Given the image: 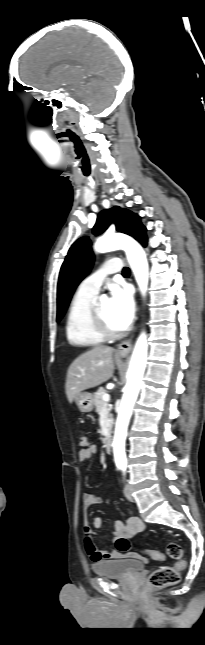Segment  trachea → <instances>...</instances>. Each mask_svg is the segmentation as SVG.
<instances>
[{
  "mask_svg": "<svg viewBox=\"0 0 205 645\" xmlns=\"http://www.w3.org/2000/svg\"><path fill=\"white\" fill-rule=\"evenodd\" d=\"M122 273H123V275H129V274H130V270H129V268H128V267H124V269H123V272H122Z\"/></svg>",
  "mask_w": 205,
  "mask_h": 645,
  "instance_id": "obj_1",
  "label": "trachea"
}]
</instances>
